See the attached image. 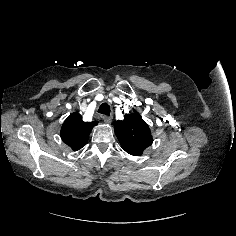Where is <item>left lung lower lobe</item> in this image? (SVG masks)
Returning <instances> with one entry per match:
<instances>
[{
    "label": "left lung lower lobe",
    "instance_id": "obj_1",
    "mask_svg": "<svg viewBox=\"0 0 236 236\" xmlns=\"http://www.w3.org/2000/svg\"><path fill=\"white\" fill-rule=\"evenodd\" d=\"M131 155H134V156H140L141 154H131Z\"/></svg>",
    "mask_w": 236,
    "mask_h": 236
}]
</instances>
